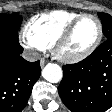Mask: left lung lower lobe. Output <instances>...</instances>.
I'll use <instances>...</instances> for the list:
<instances>
[{"instance_id": "0a47b994", "label": "left lung lower lobe", "mask_w": 112, "mask_h": 112, "mask_svg": "<svg viewBox=\"0 0 112 112\" xmlns=\"http://www.w3.org/2000/svg\"><path fill=\"white\" fill-rule=\"evenodd\" d=\"M62 69L58 92L72 112H104L112 106V38L84 60Z\"/></svg>"}]
</instances>
